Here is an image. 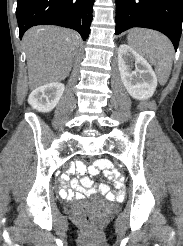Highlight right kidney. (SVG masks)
<instances>
[{
	"label": "right kidney",
	"mask_w": 183,
	"mask_h": 246,
	"mask_svg": "<svg viewBox=\"0 0 183 246\" xmlns=\"http://www.w3.org/2000/svg\"><path fill=\"white\" fill-rule=\"evenodd\" d=\"M64 90L65 86L60 82L42 85L31 92L28 103L40 112H50L58 104Z\"/></svg>",
	"instance_id": "ca27d5eb"
}]
</instances>
